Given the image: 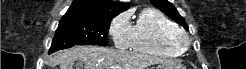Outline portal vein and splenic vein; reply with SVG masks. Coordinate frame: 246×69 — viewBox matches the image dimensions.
Returning <instances> with one entry per match:
<instances>
[{
    "label": "portal vein and splenic vein",
    "mask_w": 246,
    "mask_h": 69,
    "mask_svg": "<svg viewBox=\"0 0 246 69\" xmlns=\"http://www.w3.org/2000/svg\"><path fill=\"white\" fill-rule=\"evenodd\" d=\"M113 69H118V67H113Z\"/></svg>",
    "instance_id": "obj_1"
}]
</instances>
